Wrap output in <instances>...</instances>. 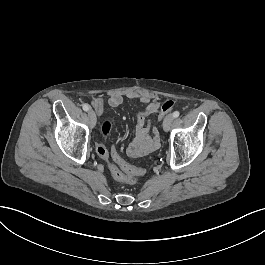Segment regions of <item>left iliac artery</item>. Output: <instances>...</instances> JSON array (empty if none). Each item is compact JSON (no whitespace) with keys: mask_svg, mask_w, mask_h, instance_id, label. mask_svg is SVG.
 Returning <instances> with one entry per match:
<instances>
[{"mask_svg":"<svg viewBox=\"0 0 265 265\" xmlns=\"http://www.w3.org/2000/svg\"><path fill=\"white\" fill-rule=\"evenodd\" d=\"M179 115H180V112H179V111H175V112H173V117H174V118L179 117Z\"/></svg>","mask_w":265,"mask_h":265,"instance_id":"obj_1","label":"left iliac artery"}]
</instances>
